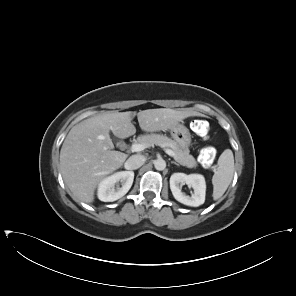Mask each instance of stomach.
Returning a JSON list of instances; mask_svg holds the SVG:
<instances>
[{
  "instance_id": "stomach-1",
  "label": "stomach",
  "mask_w": 296,
  "mask_h": 296,
  "mask_svg": "<svg viewBox=\"0 0 296 296\" xmlns=\"http://www.w3.org/2000/svg\"><path fill=\"white\" fill-rule=\"evenodd\" d=\"M170 133L174 141L181 148H188L191 144V134L189 130L182 124H178L170 129Z\"/></svg>"
}]
</instances>
